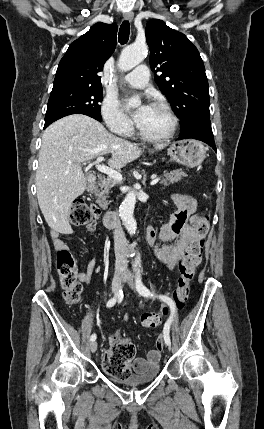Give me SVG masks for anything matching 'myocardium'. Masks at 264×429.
I'll return each instance as SVG.
<instances>
[{
    "label": "myocardium",
    "mask_w": 264,
    "mask_h": 429,
    "mask_svg": "<svg viewBox=\"0 0 264 429\" xmlns=\"http://www.w3.org/2000/svg\"><path fill=\"white\" fill-rule=\"evenodd\" d=\"M151 107L161 109V110H163L168 115V117L170 118V121H171L170 129H169V131L166 134H164L162 136L151 137V136H148V135L144 134L141 131V129L139 128V126L137 125L136 126V131H137L138 136L142 140H145V141H148V142H154V143L163 142V141H166V140L172 138L173 135L175 134V132L177 130V126H178V118L175 115V113L172 111V109L166 103H163V102H153L151 104Z\"/></svg>",
    "instance_id": "obj_1"
}]
</instances>
